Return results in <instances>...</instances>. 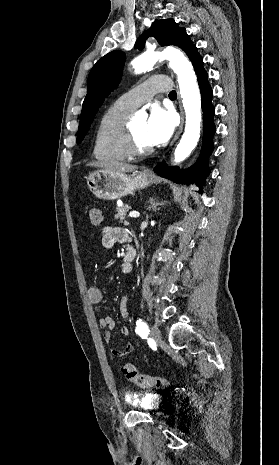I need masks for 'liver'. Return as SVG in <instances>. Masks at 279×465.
<instances>
[{"label": "liver", "mask_w": 279, "mask_h": 465, "mask_svg": "<svg viewBox=\"0 0 279 465\" xmlns=\"http://www.w3.org/2000/svg\"><path fill=\"white\" fill-rule=\"evenodd\" d=\"M90 166H101L103 167L104 171L114 172V173H124V172H132L137 169L136 165H130L127 163H113L109 165H101L99 163H90Z\"/></svg>", "instance_id": "1"}]
</instances>
